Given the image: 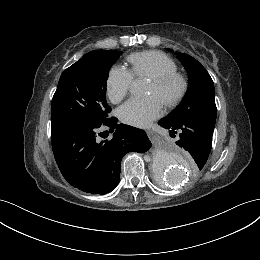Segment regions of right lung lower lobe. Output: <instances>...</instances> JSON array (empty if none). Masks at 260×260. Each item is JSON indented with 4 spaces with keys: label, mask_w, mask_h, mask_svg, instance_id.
I'll use <instances>...</instances> for the list:
<instances>
[{
    "label": "right lung lower lobe",
    "mask_w": 260,
    "mask_h": 260,
    "mask_svg": "<svg viewBox=\"0 0 260 260\" xmlns=\"http://www.w3.org/2000/svg\"><path fill=\"white\" fill-rule=\"evenodd\" d=\"M105 126L114 132L113 138L100 141L97 133ZM51 141L56 163L67 182L84 192L101 195L118 185L121 160L126 153H144L151 147L143 130L117 124L115 117L102 124L53 128Z\"/></svg>",
    "instance_id": "obj_1"
}]
</instances>
